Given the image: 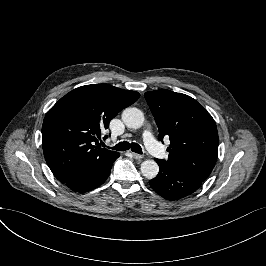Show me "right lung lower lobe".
I'll return each instance as SVG.
<instances>
[{"mask_svg":"<svg viewBox=\"0 0 266 266\" xmlns=\"http://www.w3.org/2000/svg\"><path fill=\"white\" fill-rule=\"evenodd\" d=\"M102 165L98 168L85 167L71 181L65 183L71 190L75 192H87L100 186L109 176L113 162Z\"/></svg>","mask_w":266,"mask_h":266,"instance_id":"1","label":"right lung lower lobe"}]
</instances>
